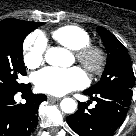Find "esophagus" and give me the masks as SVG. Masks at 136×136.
Instances as JSON below:
<instances>
[{
    "label": "esophagus",
    "instance_id": "esophagus-1",
    "mask_svg": "<svg viewBox=\"0 0 136 136\" xmlns=\"http://www.w3.org/2000/svg\"><path fill=\"white\" fill-rule=\"evenodd\" d=\"M48 100L49 101H59V100H61L60 98H57V97H54V96H48Z\"/></svg>",
    "mask_w": 136,
    "mask_h": 136
}]
</instances>
